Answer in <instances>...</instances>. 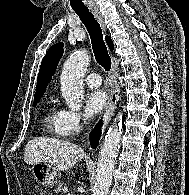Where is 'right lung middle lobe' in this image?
Here are the masks:
<instances>
[{
    "label": "right lung middle lobe",
    "instance_id": "obj_1",
    "mask_svg": "<svg viewBox=\"0 0 189 195\" xmlns=\"http://www.w3.org/2000/svg\"><path fill=\"white\" fill-rule=\"evenodd\" d=\"M39 99L38 100H34V106L38 103Z\"/></svg>",
    "mask_w": 189,
    "mask_h": 195
}]
</instances>
